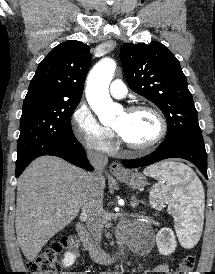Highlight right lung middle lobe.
Instances as JSON below:
<instances>
[{
	"mask_svg": "<svg viewBox=\"0 0 215 274\" xmlns=\"http://www.w3.org/2000/svg\"><path fill=\"white\" fill-rule=\"evenodd\" d=\"M79 102L35 100L23 104L16 166L39 152L77 141L71 116Z\"/></svg>",
	"mask_w": 215,
	"mask_h": 274,
	"instance_id": "right-lung-middle-lobe-1",
	"label": "right lung middle lobe"
}]
</instances>
